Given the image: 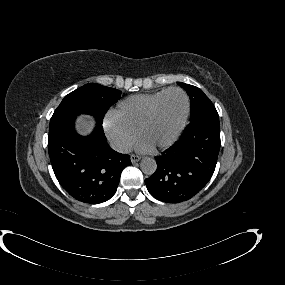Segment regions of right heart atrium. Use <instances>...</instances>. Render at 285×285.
<instances>
[{
	"label": "right heart atrium",
	"instance_id": "1",
	"mask_svg": "<svg viewBox=\"0 0 285 285\" xmlns=\"http://www.w3.org/2000/svg\"><path fill=\"white\" fill-rule=\"evenodd\" d=\"M104 130L113 145L120 151L131 149L136 133L125 127L115 115H109L104 122Z\"/></svg>",
	"mask_w": 285,
	"mask_h": 285
}]
</instances>
